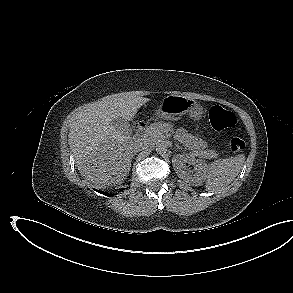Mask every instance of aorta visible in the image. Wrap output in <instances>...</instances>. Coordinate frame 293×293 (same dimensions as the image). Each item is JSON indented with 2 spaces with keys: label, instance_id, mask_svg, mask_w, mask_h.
<instances>
[{
  "label": "aorta",
  "instance_id": "obj_1",
  "mask_svg": "<svg viewBox=\"0 0 293 293\" xmlns=\"http://www.w3.org/2000/svg\"><path fill=\"white\" fill-rule=\"evenodd\" d=\"M156 152L158 154H165L167 152V144L164 142L157 143Z\"/></svg>",
  "mask_w": 293,
  "mask_h": 293
}]
</instances>
